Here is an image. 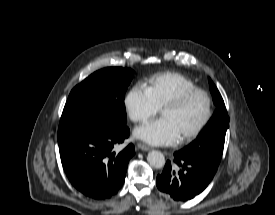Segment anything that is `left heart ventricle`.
<instances>
[{"instance_id":"left-heart-ventricle-1","label":"left heart ventricle","mask_w":275,"mask_h":215,"mask_svg":"<svg viewBox=\"0 0 275 215\" xmlns=\"http://www.w3.org/2000/svg\"><path fill=\"white\" fill-rule=\"evenodd\" d=\"M206 109L205 97L202 94H194L177 108H165L161 111V116L174 124L181 138L202 121Z\"/></svg>"}]
</instances>
